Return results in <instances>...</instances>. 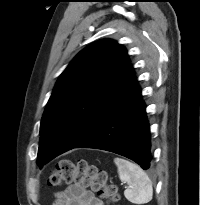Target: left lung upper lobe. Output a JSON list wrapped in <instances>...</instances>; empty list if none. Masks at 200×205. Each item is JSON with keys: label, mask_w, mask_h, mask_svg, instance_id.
Here are the masks:
<instances>
[{"label": "left lung upper lobe", "mask_w": 200, "mask_h": 205, "mask_svg": "<svg viewBox=\"0 0 200 205\" xmlns=\"http://www.w3.org/2000/svg\"><path fill=\"white\" fill-rule=\"evenodd\" d=\"M126 49L99 40L59 77L40 125L37 165L76 147L110 105L130 68Z\"/></svg>", "instance_id": "1"}]
</instances>
